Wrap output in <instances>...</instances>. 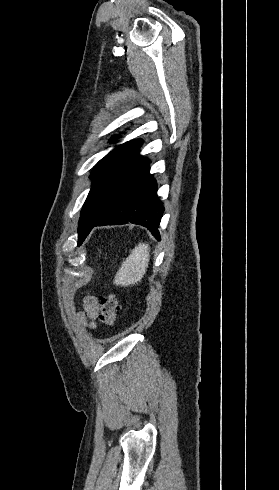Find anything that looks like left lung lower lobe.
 Wrapping results in <instances>:
<instances>
[{
	"mask_svg": "<svg viewBox=\"0 0 279 490\" xmlns=\"http://www.w3.org/2000/svg\"><path fill=\"white\" fill-rule=\"evenodd\" d=\"M149 169V160L142 158L120 189L111 210L88 229L86 236L95 226L131 222L146 227L160 240L158 228L164 207L157 196V183Z\"/></svg>",
	"mask_w": 279,
	"mask_h": 490,
	"instance_id": "left-lung-lower-lobe-1",
	"label": "left lung lower lobe"
}]
</instances>
